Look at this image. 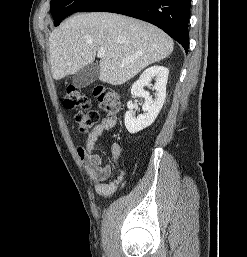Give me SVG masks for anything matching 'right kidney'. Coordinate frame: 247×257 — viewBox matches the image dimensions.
<instances>
[{"instance_id": "1", "label": "right kidney", "mask_w": 247, "mask_h": 257, "mask_svg": "<svg viewBox=\"0 0 247 257\" xmlns=\"http://www.w3.org/2000/svg\"><path fill=\"white\" fill-rule=\"evenodd\" d=\"M169 70L164 66H152L146 69L139 79L132 85L131 94L135 97H143L144 105L142 107L144 114L137 118L133 112V103H127L128 111L125 114L124 122L126 129L131 133H137L150 126L157 118L166 98V85ZM152 79H155L153 89L156 91L155 99H152L149 92L144 91V87L150 85Z\"/></svg>"}]
</instances>
